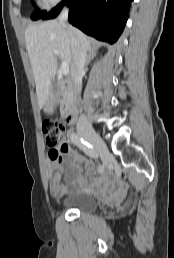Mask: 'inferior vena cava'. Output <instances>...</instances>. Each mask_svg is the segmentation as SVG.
<instances>
[{
    "label": "inferior vena cava",
    "instance_id": "inferior-vena-cava-1",
    "mask_svg": "<svg viewBox=\"0 0 174 258\" xmlns=\"http://www.w3.org/2000/svg\"><path fill=\"white\" fill-rule=\"evenodd\" d=\"M68 18V9L64 8L59 15V21L65 24ZM72 46H73V59L71 65V78L74 84L75 94H79L82 87V75L84 72V65L86 63V52L80 47L77 40L71 32H69ZM78 130H88L90 125L85 115L81 114L77 122Z\"/></svg>",
    "mask_w": 174,
    "mask_h": 258
}]
</instances>
